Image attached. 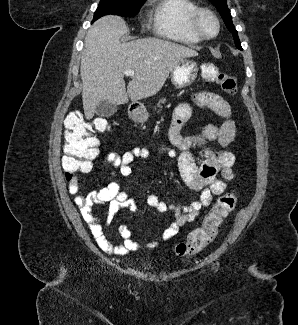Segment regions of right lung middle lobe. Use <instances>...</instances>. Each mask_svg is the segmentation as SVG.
<instances>
[{
    "label": "right lung middle lobe",
    "mask_w": 298,
    "mask_h": 325,
    "mask_svg": "<svg viewBox=\"0 0 298 325\" xmlns=\"http://www.w3.org/2000/svg\"><path fill=\"white\" fill-rule=\"evenodd\" d=\"M143 3L144 2L137 0H101L94 13L93 22L108 14H115L123 17L135 16L138 14Z\"/></svg>",
    "instance_id": "1"
}]
</instances>
